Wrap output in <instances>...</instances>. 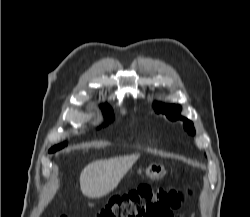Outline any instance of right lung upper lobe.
Masks as SVG:
<instances>
[{
  "label": "right lung upper lobe",
  "instance_id": "1",
  "mask_svg": "<svg viewBox=\"0 0 250 217\" xmlns=\"http://www.w3.org/2000/svg\"><path fill=\"white\" fill-rule=\"evenodd\" d=\"M102 110H103V112H104V115H107V114H109V113L112 112L111 107L108 106V105H102Z\"/></svg>",
  "mask_w": 250,
  "mask_h": 217
}]
</instances>
